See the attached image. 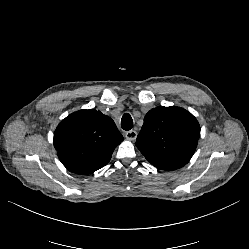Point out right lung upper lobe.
Wrapping results in <instances>:
<instances>
[{
  "instance_id": "cb5924a9",
  "label": "right lung upper lobe",
  "mask_w": 249,
  "mask_h": 249,
  "mask_svg": "<svg viewBox=\"0 0 249 249\" xmlns=\"http://www.w3.org/2000/svg\"><path fill=\"white\" fill-rule=\"evenodd\" d=\"M122 141L114 121L93 109L70 114L54 133V147L60 161L79 175L91 174L105 166Z\"/></svg>"
}]
</instances>
